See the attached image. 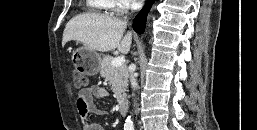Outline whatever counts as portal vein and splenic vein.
Segmentation results:
<instances>
[{
    "label": "portal vein and splenic vein",
    "instance_id": "1",
    "mask_svg": "<svg viewBox=\"0 0 257 130\" xmlns=\"http://www.w3.org/2000/svg\"><path fill=\"white\" fill-rule=\"evenodd\" d=\"M125 63V58L124 57H116L113 59L112 61V66L113 67H118V66H121Z\"/></svg>",
    "mask_w": 257,
    "mask_h": 130
}]
</instances>
